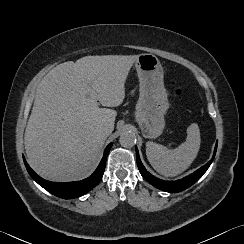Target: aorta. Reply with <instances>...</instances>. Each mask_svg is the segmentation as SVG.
Returning a JSON list of instances; mask_svg holds the SVG:
<instances>
[{
    "mask_svg": "<svg viewBox=\"0 0 244 244\" xmlns=\"http://www.w3.org/2000/svg\"><path fill=\"white\" fill-rule=\"evenodd\" d=\"M119 143L124 148H132L136 143V135L132 131H123L119 138Z\"/></svg>",
    "mask_w": 244,
    "mask_h": 244,
    "instance_id": "762f6f07",
    "label": "aorta"
}]
</instances>
